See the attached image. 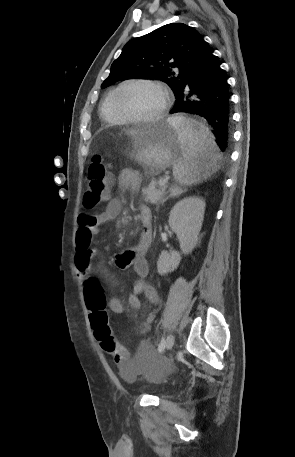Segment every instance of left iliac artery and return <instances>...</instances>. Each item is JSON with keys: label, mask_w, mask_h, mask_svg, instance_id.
Instances as JSON below:
<instances>
[{"label": "left iliac artery", "mask_w": 295, "mask_h": 457, "mask_svg": "<svg viewBox=\"0 0 295 457\" xmlns=\"http://www.w3.org/2000/svg\"><path fill=\"white\" fill-rule=\"evenodd\" d=\"M164 348H165V340H164V338H162V340L158 346V351L161 352L164 350Z\"/></svg>", "instance_id": "obj_1"}]
</instances>
